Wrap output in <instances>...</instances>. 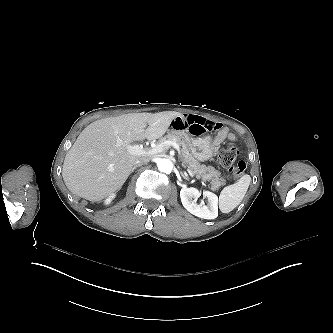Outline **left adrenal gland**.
<instances>
[{"label": "left adrenal gland", "instance_id": "1", "mask_svg": "<svg viewBox=\"0 0 333 333\" xmlns=\"http://www.w3.org/2000/svg\"><path fill=\"white\" fill-rule=\"evenodd\" d=\"M180 175L182 176L183 179L188 180V178H186V177L184 176V174H183L182 171H180Z\"/></svg>", "mask_w": 333, "mask_h": 333}]
</instances>
